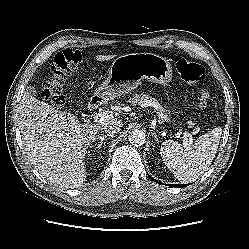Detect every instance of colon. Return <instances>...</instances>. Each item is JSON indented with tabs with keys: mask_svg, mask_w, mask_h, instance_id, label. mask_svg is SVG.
<instances>
[{
	"mask_svg": "<svg viewBox=\"0 0 249 249\" xmlns=\"http://www.w3.org/2000/svg\"><path fill=\"white\" fill-rule=\"evenodd\" d=\"M84 59L85 53L81 50L64 49L58 52L50 67V76L43 84L42 96L56 107L63 106L65 81ZM175 67L180 77L189 84L201 83L205 78L203 66L182 56L175 58ZM209 99V90L202 85L199 90L198 105L206 107Z\"/></svg>",
	"mask_w": 249,
	"mask_h": 249,
	"instance_id": "1",
	"label": "colon"
}]
</instances>
